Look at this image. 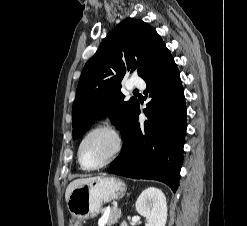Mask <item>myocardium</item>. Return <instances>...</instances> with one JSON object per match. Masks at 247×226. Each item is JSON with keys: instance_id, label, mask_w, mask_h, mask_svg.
I'll return each instance as SVG.
<instances>
[{"instance_id": "obj_1", "label": "myocardium", "mask_w": 247, "mask_h": 226, "mask_svg": "<svg viewBox=\"0 0 247 226\" xmlns=\"http://www.w3.org/2000/svg\"><path fill=\"white\" fill-rule=\"evenodd\" d=\"M97 132H107L110 135H112V137L114 138V142H115L114 149H113L112 153L110 154V156L105 161H103L102 163H100L96 166H87V165H85V163L83 162V159H82V148H83L85 141L91 135H93L94 133H97ZM122 148H123V139H122V136H121L119 130L114 125L109 124V123L99 124V125L93 127L92 129H90L88 132H86L84 134V136L82 137V139L79 143V146H78V153H77L78 161H79L80 165L86 170H98V169H101V168L108 166L114 160H116V158L120 155Z\"/></svg>"}]
</instances>
